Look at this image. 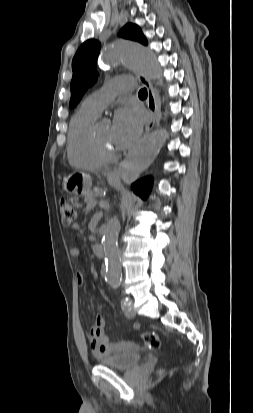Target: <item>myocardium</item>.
Masks as SVG:
<instances>
[{
    "label": "myocardium",
    "mask_w": 253,
    "mask_h": 413,
    "mask_svg": "<svg viewBox=\"0 0 253 413\" xmlns=\"http://www.w3.org/2000/svg\"><path fill=\"white\" fill-rule=\"evenodd\" d=\"M99 123H95L91 130V143L95 153L105 162L113 161L118 157V152L116 149L108 148L100 141L97 128Z\"/></svg>",
    "instance_id": "f54148a6"
}]
</instances>
